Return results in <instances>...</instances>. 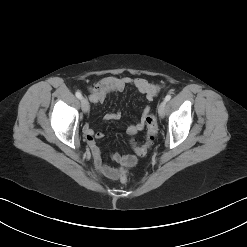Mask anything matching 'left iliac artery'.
Wrapping results in <instances>:
<instances>
[{"mask_svg": "<svg viewBox=\"0 0 247 247\" xmlns=\"http://www.w3.org/2000/svg\"><path fill=\"white\" fill-rule=\"evenodd\" d=\"M170 99H171V95H169V94H168V95H166V97H165V101H166V102H168Z\"/></svg>", "mask_w": 247, "mask_h": 247, "instance_id": "1", "label": "left iliac artery"}]
</instances>
